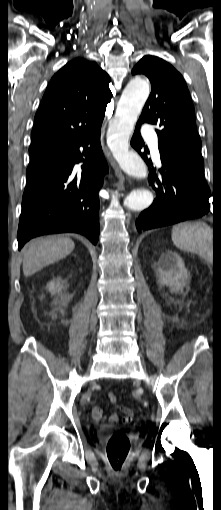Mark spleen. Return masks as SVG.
<instances>
[{
    "instance_id": "obj_1",
    "label": "spleen",
    "mask_w": 221,
    "mask_h": 510,
    "mask_svg": "<svg viewBox=\"0 0 221 510\" xmlns=\"http://www.w3.org/2000/svg\"><path fill=\"white\" fill-rule=\"evenodd\" d=\"M172 241L182 250L200 255L207 261L213 256V231L203 222H184L172 228Z\"/></svg>"
}]
</instances>
